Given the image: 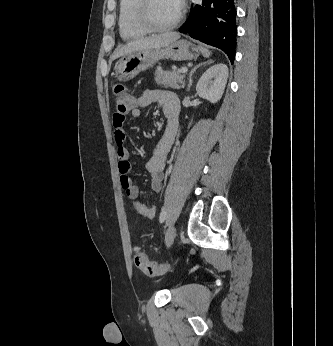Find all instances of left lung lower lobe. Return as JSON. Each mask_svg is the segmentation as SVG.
Returning a JSON list of instances; mask_svg holds the SVG:
<instances>
[{
  "label": "left lung lower lobe",
  "mask_w": 333,
  "mask_h": 346,
  "mask_svg": "<svg viewBox=\"0 0 333 346\" xmlns=\"http://www.w3.org/2000/svg\"><path fill=\"white\" fill-rule=\"evenodd\" d=\"M179 32L220 48L233 63L237 36L234 0H203L192 8Z\"/></svg>",
  "instance_id": "0a47b994"
}]
</instances>
